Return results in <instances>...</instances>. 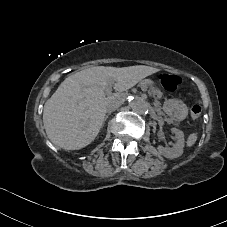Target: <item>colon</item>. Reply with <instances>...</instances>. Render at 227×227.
<instances>
[{
	"instance_id": "colon-1",
	"label": "colon",
	"mask_w": 227,
	"mask_h": 227,
	"mask_svg": "<svg viewBox=\"0 0 227 227\" xmlns=\"http://www.w3.org/2000/svg\"><path fill=\"white\" fill-rule=\"evenodd\" d=\"M158 82L168 92H176L181 84V78L174 74L160 72L158 74ZM202 108L199 104H194L190 108V116L192 119L200 118Z\"/></svg>"
}]
</instances>
